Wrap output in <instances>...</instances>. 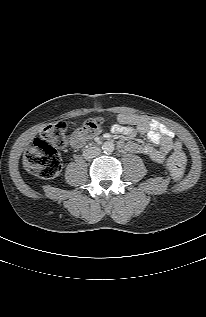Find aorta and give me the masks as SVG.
<instances>
[{
	"mask_svg": "<svg viewBox=\"0 0 206 317\" xmlns=\"http://www.w3.org/2000/svg\"><path fill=\"white\" fill-rule=\"evenodd\" d=\"M102 150L106 154H111L114 151V144L111 141H106L102 145Z\"/></svg>",
	"mask_w": 206,
	"mask_h": 317,
	"instance_id": "1",
	"label": "aorta"
}]
</instances>
